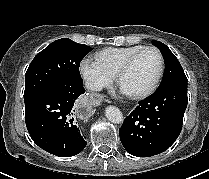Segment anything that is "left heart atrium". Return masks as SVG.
I'll return each mask as SVG.
<instances>
[{"instance_id": "obj_1", "label": "left heart atrium", "mask_w": 209, "mask_h": 179, "mask_svg": "<svg viewBox=\"0 0 209 179\" xmlns=\"http://www.w3.org/2000/svg\"><path fill=\"white\" fill-rule=\"evenodd\" d=\"M122 93L126 94L122 89H121Z\"/></svg>"}]
</instances>
